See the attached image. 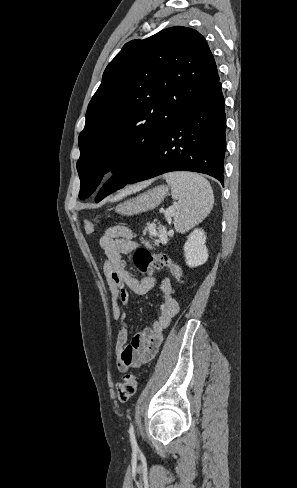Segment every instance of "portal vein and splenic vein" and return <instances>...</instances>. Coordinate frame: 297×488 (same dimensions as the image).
Wrapping results in <instances>:
<instances>
[{"instance_id": "18ae733b", "label": "portal vein and splenic vein", "mask_w": 297, "mask_h": 488, "mask_svg": "<svg viewBox=\"0 0 297 488\" xmlns=\"http://www.w3.org/2000/svg\"><path fill=\"white\" fill-rule=\"evenodd\" d=\"M174 210H175V206H171L168 209L164 210L163 213H164L165 217L167 219H169L173 215Z\"/></svg>"}]
</instances>
